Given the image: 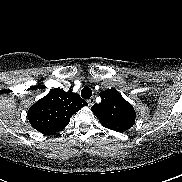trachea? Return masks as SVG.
<instances>
[{"label": "trachea", "mask_w": 182, "mask_h": 182, "mask_svg": "<svg viewBox=\"0 0 182 182\" xmlns=\"http://www.w3.org/2000/svg\"><path fill=\"white\" fill-rule=\"evenodd\" d=\"M81 96L85 99H88L92 96V90L89 87H84L81 90Z\"/></svg>", "instance_id": "obj_1"}]
</instances>
